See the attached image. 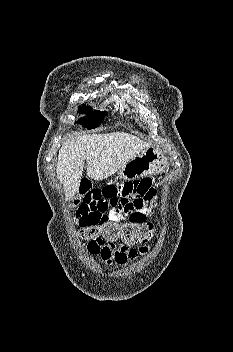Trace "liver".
Masks as SVG:
<instances>
[{"instance_id":"obj_1","label":"liver","mask_w":233,"mask_h":352,"mask_svg":"<svg viewBox=\"0 0 233 352\" xmlns=\"http://www.w3.org/2000/svg\"><path fill=\"white\" fill-rule=\"evenodd\" d=\"M148 147L149 143L125 132L84 134L66 139L59 150L56 168L66 200L79 190L85 161L88 177L101 181Z\"/></svg>"}]
</instances>
